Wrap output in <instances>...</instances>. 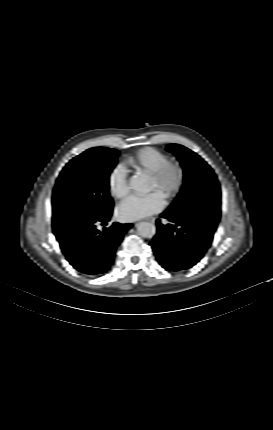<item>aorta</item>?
Listing matches in <instances>:
<instances>
[{
	"label": "aorta",
	"instance_id": "762f6f07",
	"mask_svg": "<svg viewBox=\"0 0 273 430\" xmlns=\"http://www.w3.org/2000/svg\"><path fill=\"white\" fill-rule=\"evenodd\" d=\"M130 186L137 193L143 194L151 190L152 183L147 177L134 175L130 180ZM137 230L140 236L146 238H152L156 233L155 225L148 222L138 223Z\"/></svg>",
	"mask_w": 273,
	"mask_h": 430
}]
</instances>
